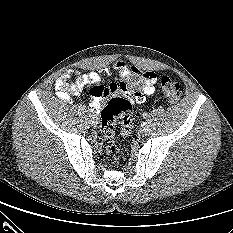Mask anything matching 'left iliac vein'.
I'll return each mask as SVG.
<instances>
[{
    "label": "left iliac vein",
    "instance_id": "4c4485c4",
    "mask_svg": "<svg viewBox=\"0 0 233 233\" xmlns=\"http://www.w3.org/2000/svg\"><path fill=\"white\" fill-rule=\"evenodd\" d=\"M149 132V125L147 123H143L140 129V134L142 136H146Z\"/></svg>",
    "mask_w": 233,
    "mask_h": 233
}]
</instances>
